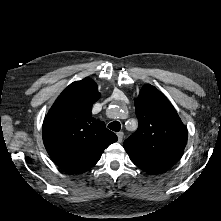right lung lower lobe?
Returning a JSON list of instances; mask_svg holds the SVG:
<instances>
[{
    "label": "right lung lower lobe",
    "instance_id": "98d812e1",
    "mask_svg": "<svg viewBox=\"0 0 221 221\" xmlns=\"http://www.w3.org/2000/svg\"><path fill=\"white\" fill-rule=\"evenodd\" d=\"M98 161L86 162L80 165L73 166L71 168L66 169L65 171L69 173H83L89 170L92 166H94Z\"/></svg>",
    "mask_w": 221,
    "mask_h": 221
}]
</instances>
